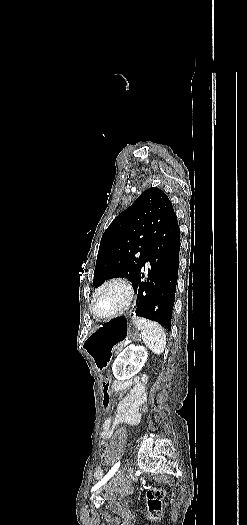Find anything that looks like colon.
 Segmentation results:
<instances>
[{"mask_svg":"<svg viewBox=\"0 0 247 525\" xmlns=\"http://www.w3.org/2000/svg\"><path fill=\"white\" fill-rule=\"evenodd\" d=\"M114 378L111 375L106 376L104 380L101 381L100 386L104 389V392L101 393V409L103 411H108L111 408V395L112 392L109 390L113 386ZM101 459L103 463H108L111 460V453L109 446L107 444H102L101 446ZM146 497L148 501V514L152 520H160L163 516V498L165 495L164 490L161 487H158L154 484H149L145 488Z\"/></svg>","mask_w":247,"mask_h":525,"instance_id":"obj_1","label":"colon"}]
</instances>
